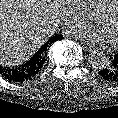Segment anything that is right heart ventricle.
Returning a JSON list of instances; mask_svg holds the SVG:
<instances>
[{"label":"right heart ventricle","instance_id":"e07e8e85","mask_svg":"<svg viewBox=\"0 0 118 118\" xmlns=\"http://www.w3.org/2000/svg\"><path fill=\"white\" fill-rule=\"evenodd\" d=\"M92 15L99 14L111 0H84Z\"/></svg>","mask_w":118,"mask_h":118}]
</instances>
